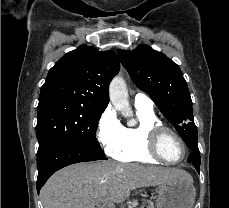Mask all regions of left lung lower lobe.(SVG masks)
Wrapping results in <instances>:
<instances>
[{
    "instance_id": "left-lung-lower-lobe-1",
    "label": "left lung lower lobe",
    "mask_w": 229,
    "mask_h": 208,
    "mask_svg": "<svg viewBox=\"0 0 229 208\" xmlns=\"http://www.w3.org/2000/svg\"><path fill=\"white\" fill-rule=\"evenodd\" d=\"M187 147L192 150V153L188 157V162L195 166V169L199 173L200 170V152L198 149L197 138L183 139Z\"/></svg>"
}]
</instances>
